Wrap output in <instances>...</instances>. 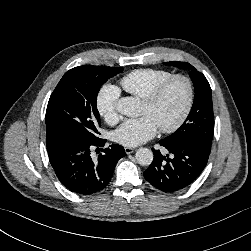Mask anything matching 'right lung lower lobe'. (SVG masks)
<instances>
[{
  "label": "right lung lower lobe",
  "mask_w": 251,
  "mask_h": 251,
  "mask_svg": "<svg viewBox=\"0 0 251 251\" xmlns=\"http://www.w3.org/2000/svg\"><path fill=\"white\" fill-rule=\"evenodd\" d=\"M105 139L82 137L58 139L48 148L50 163L59 181L70 191L80 195L97 193L109 184L118 160L126 155L118 144L101 148L102 153L92 158L93 146L103 147Z\"/></svg>",
  "instance_id": "98d812e1"
}]
</instances>
